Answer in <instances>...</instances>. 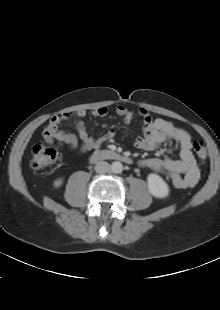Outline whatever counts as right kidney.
Masks as SVG:
<instances>
[{"label":"right kidney","instance_id":"1","mask_svg":"<svg viewBox=\"0 0 220 310\" xmlns=\"http://www.w3.org/2000/svg\"><path fill=\"white\" fill-rule=\"evenodd\" d=\"M62 183H63V179L59 178V179L54 181L53 185H54L55 188H59L62 185Z\"/></svg>","mask_w":220,"mask_h":310}]
</instances>
